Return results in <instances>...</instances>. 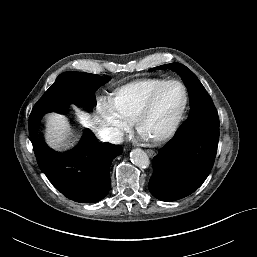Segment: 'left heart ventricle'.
<instances>
[{
    "label": "left heart ventricle",
    "instance_id": "obj_1",
    "mask_svg": "<svg viewBox=\"0 0 257 257\" xmlns=\"http://www.w3.org/2000/svg\"><path fill=\"white\" fill-rule=\"evenodd\" d=\"M184 95L177 84L167 86L158 97L153 109L144 119L141 131L146 136L162 133L172 122L183 103Z\"/></svg>",
    "mask_w": 257,
    "mask_h": 257
}]
</instances>
